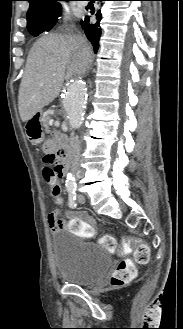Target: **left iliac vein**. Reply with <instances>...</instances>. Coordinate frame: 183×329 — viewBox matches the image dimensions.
I'll return each instance as SVG.
<instances>
[{
  "mask_svg": "<svg viewBox=\"0 0 183 329\" xmlns=\"http://www.w3.org/2000/svg\"><path fill=\"white\" fill-rule=\"evenodd\" d=\"M77 200L80 204H83L85 202V197L83 195H78Z\"/></svg>",
  "mask_w": 183,
  "mask_h": 329,
  "instance_id": "1",
  "label": "left iliac vein"
}]
</instances>
